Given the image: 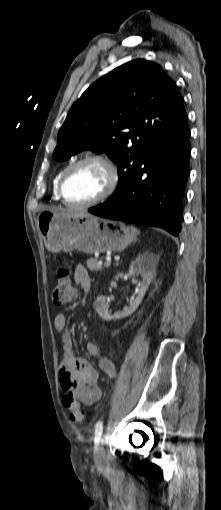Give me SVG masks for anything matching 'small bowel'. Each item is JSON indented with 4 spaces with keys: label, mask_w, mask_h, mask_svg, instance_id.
Listing matches in <instances>:
<instances>
[{
    "label": "small bowel",
    "mask_w": 221,
    "mask_h": 510,
    "mask_svg": "<svg viewBox=\"0 0 221 510\" xmlns=\"http://www.w3.org/2000/svg\"><path fill=\"white\" fill-rule=\"evenodd\" d=\"M74 280L84 291L91 288V277L87 269L79 264L74 270ZM68 324V319L64 314H58L54 318V326L58 330H63ZM64 354L59 367V381L61 389L73 398L81 401L85 405H93L102 396L101 377L99 372L85 359L77 356L74 352V338L71 333H65L62 336ZM87 352L98 358V366L105 373L107 378L115 375L114 363L100 356L99 347L95 343L87 344Z\"/></svg>",
    "instance_id": "c3829d8e"
}]
</instances>
